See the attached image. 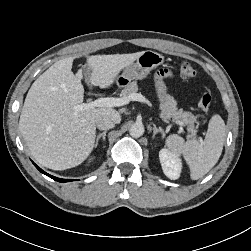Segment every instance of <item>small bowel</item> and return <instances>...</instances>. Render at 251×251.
<instances>
[{"mask_svg": "<svg viewBox=\"0 0 251 251\" xmlns=\"http://www.w3.org/2000/svg\"><path fill=\"white\" fill-rule=\"evenodd\" d=\"M171 77V73L168 70H160L156 75V89L159 94L163 95L165 93L164 80Z\"/></svg>", "mask_w": 251, "mask_h": 251, "instance_id": "1", "label": "small bowel"}]
</instances>
